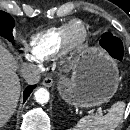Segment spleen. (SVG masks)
Instances as JSON below:
<instances>
[{
	"label": "spleen",
	"mask_w": 130,
	"mask_h": 130,
	"mask_svg": "<svg viewBox=\"0 0 130 130\" xmlns=\"http://www.w3.org/2000/svg\"><path fill=\"white\" fill-rule=\"evenodd\" d=\"M125 106L124 102H117L112 105L108 114L85 116L69 130H114L121 121Z\"/></svg>",
	"instance_id": "obj_1"
}]
</instances>
